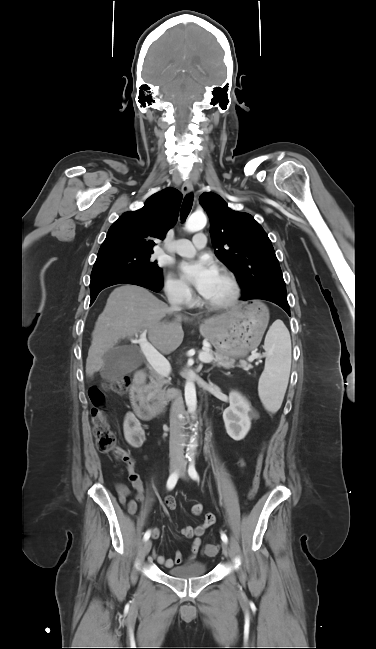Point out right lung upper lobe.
<instances>
[{"label": "right lung upper lobe", "instance_id": "cb5924a9", "mask_svg": "<svg viewBox=\"0 0 376 649\" xmlns=\"http://www.w3.org/2000/svg\"><path fill=\"white\" fill-rule=\"evenodd\" d=\"M182 194L168 187L150 196L143 208L124 213L108 230L98 254L153 251L154 239H164L179 214Z\"/></svg>", "mask_w": 376, "mask_h": 649}]
</instances>
